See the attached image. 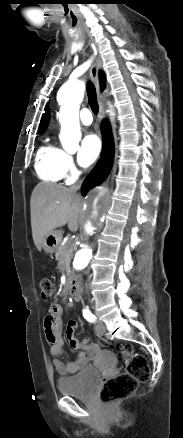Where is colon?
Listing matches in <instances>:
<instances>
[{
    "instance_id": "5ec220e1",
    "label": "colon",
    "mask_w": 183,
    "mask_h": 438,
    "mask_svg": "<svg viewBox=\"0 0 183 438\" xmlns=\"http://www.w3.org/2000/svg\"><path fill=\"white\" fill-rule=\"evenodd\" d=\"M43 302H49L54 294L55 285L50 279H43L40 284ZM116 348L119 357L125 362V371L115 377L106 379L100 389V400L106 406L124 399L134 393L139 383L148 379L150 369L145 357L134 353L127 343L110 342Z\"/></svg>"
}]
</instances>
